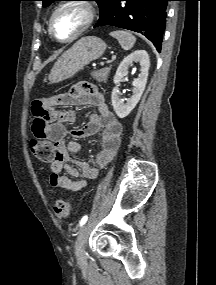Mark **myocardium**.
Wrapping results in <instances>:
<instances>
[{
	"label": "myocardium",
	"instance_id": "f54148a6",
	"mask_svg": "<svg viewBox=\"0 0 216 285\" xmlns=\"http://www.w3.org/2000/svg\"><path fill=\"white\" fill-rule=\"evenodd\" d=\"M70 6L81 8L85 12V15H86L85 21L81 25V27L74 34H72L70 37L65 38V39L57 38L53 33V20H54V18L58 12H60L64 8L70 7ZM95 15H96L95 8L90 2H87L84 0H67V1L59 4L54 9V11L52 12V14L49 18V21H48L49 35L54 40H56L57 42L70 43V42L76 40L77 38H79L81 35H83L91 27V25L93 24V22L95 20Z\"/></svg>",
	"mask_w": 216,
	"mask_h": 285
}]
</instances>
